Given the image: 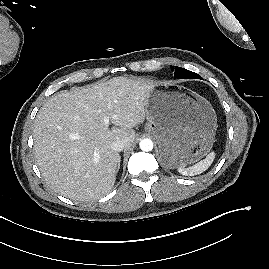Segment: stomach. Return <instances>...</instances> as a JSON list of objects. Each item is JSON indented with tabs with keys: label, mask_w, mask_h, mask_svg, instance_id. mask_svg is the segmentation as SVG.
Returning <instances> with one entry per match:
<instances>
[{
	"label": "stomach",
	"mask_w": 269,
	"mask_h": 269,
	"mask_svg": "<svg viewBox=\"0 0 269 269\" xmlns=\"http://www.w3.org/2000/svg\"><path fill=\"white\" fill-rule=\"evenodd\" d=\"M146 131L159 145L161 163L169 169L186 166L211 149L217 117L202 96L172 83L154 84L146 104Z\"/></svg>",
	"instance_id": "1"
}]
</instances>
